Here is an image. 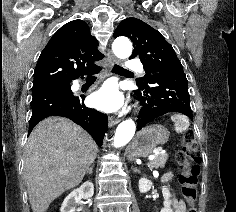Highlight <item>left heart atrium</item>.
Segmentation results:
<instances>
[{"mask_svg": "<svg viewBox=\"0 0 236 212\" xmlns=\"http://www.w3.org/2000/svg\"><path fill=\"white\" fill-rule=\"evenodd\" d=\"M123 102L124 99L122 94L113 83L104 84L91 96L92 105L106 112L117 111L122 107Z\"/></svg>", "mask_w": 236, "mask_h": 212, "instance_id": "1", "label": "left heart atrium"}]
</instances>
